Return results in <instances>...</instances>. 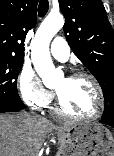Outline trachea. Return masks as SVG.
<instances>
[{"mask_svg":"<svg viewBox=\"0 0 114 156\" xmlns=\"http://www.w3.org/2000/svg\"><path fill=\"white\" fill-rule=\"evenodd\" d=\"M49 9V2L48 0H40L39 7H38V15L39 17H44Z\"/></svg>","mask_w":114,"mask_h":156,"instance_id":"trachea-1","label":"trachea"}]
</instances>
